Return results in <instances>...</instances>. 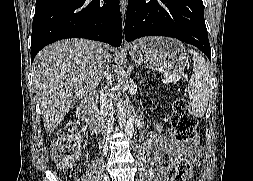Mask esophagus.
<instances>
[{"label": "esophagus", "instance_id": "1", "mask_svg": "<svg viewBox=\"0 0 253 181\" xmlns=\"http://www.w3.org/2000/svg\"><path fill=\"white\" fill-rule=\"evenodd\" d=\"M126 4H127V0H120V9H121V14L123 18L126 11Z\"/></svg>", "mask_w": 253, "mask_h": 181}]
</instances>
